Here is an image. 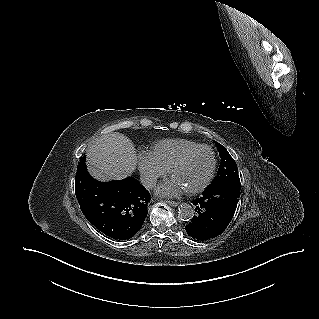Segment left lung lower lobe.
<instances>
[{
    "label": "left lung lower lobe",
    "mask_w": 319,
    "mask_h": 319,
    "mask_svg": "<svg viewBox=\"0 0 319 319\" xmlns=\"http://www.w3.org/2000/svg\"><path fill=\"white\" fill-rule=\"evenodd\" d=\"M240 196V180H232L219 186L207 187L202 196L195 199L196 215L185 226L193 239L205 241L221 234L229 225Z\"/></svg>",
    "instance_id": "left-lung-lower-lobe-1"
}]
</instances>
